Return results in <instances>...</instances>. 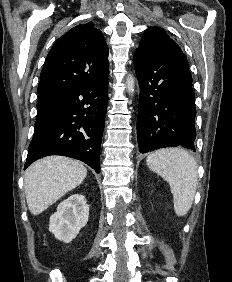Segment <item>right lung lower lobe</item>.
Masks as SVG:
<instances>
[{
    "instance_id": "98d812e1",
    "label": "right lung lower lobe",
    "mask_w": 232,
    "mask_h": 282,
    "mask_svg": "<svg viewBox=\"0 0 232 282\" xmlns=\"http://www.w3.org/2000/svg\"><path fill=\"white\" fill-rule=\"evenodd\" d=\"M108 102V75L66 93L36 118L24 168L39 158L63 155L100 172V147Z\"/></svg>"
}]
</instances>
